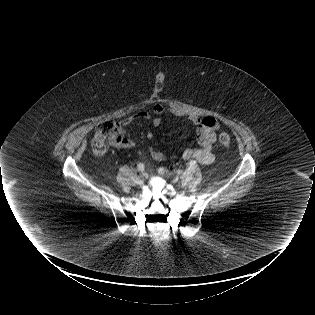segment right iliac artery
<instances>
[{"mask_svg":"<svg viewBox=\"0 0 315 315\" xmlns=\"http://www.w3.org/2000/svg\"><path fill=\"white\" fill-rule=\"evenodd\" d=\"M137 168H138L139 171H143L144 168H145V166H144L143 163H139L138 166H137Z\"/></svg>","mask_w":315,"mask_h":315,"instance_id":"82829eb1","label":"right iliac artery"}]
</instances>
